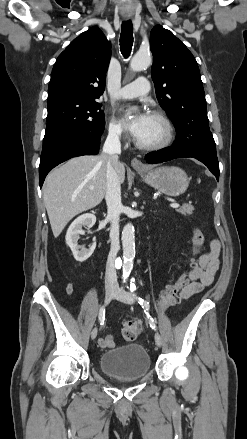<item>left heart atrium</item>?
I'll return each mask as SVG.
<instances>
[{
  "mask_svg": "<svg viewBox=\"0 0 247 439\" xmlns=\"http://www.w3.org/2000/svg\"><path fill=\"white\" fill-rule=\"evenodd\" d=\"M148 120L149 115L146 113H139L132 117L127 115L125 117L126 127L136 139H138L143 134L147 126Z\"/></svg>",
  "mask_w": 247,
  "mask_h": 439,
  "instance_id": "left-heart-atrium-1",
  "label": "left heart atrium"
}]
</instances>
